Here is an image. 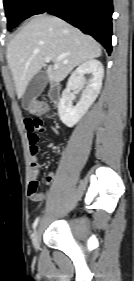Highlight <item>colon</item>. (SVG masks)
Here are the masks:
<instances>
[{
  "mask_svg": "<svg viewBox=\"0 0 134 281\" xmlns=\"http://www.w3.org/2000/svg\"><path fill=\"white\" fill-rule=\"evenodd\" d=\"M48 107L44 102H34L31 105V111L36 114H43L47 111ZM29 195L33 199H40L42 197V192L39 189L38 181H31L29 184Z\"/></svg>",
  "mask_w": 134,
  "mask_h": 281,
  "instance_id": "5ec220e1",
  "label": "colon"
}]
</instances>
